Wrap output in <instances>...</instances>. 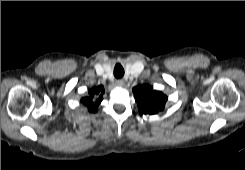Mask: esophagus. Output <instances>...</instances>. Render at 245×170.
I'll list each match as a JSON object with an SVG mask.
<instances>
[{"label":"esophagus","mask_w":245,"mask_h":170,"mask_svg":"<svg viewBox=\"0 0 245 170\" xmlns=\"http://www.w3.org/2000/svg\"><path fill=\"white\" fill-rule=\"evenodd\" d=\"M116 85H117L118 87H123V86H124V81H123L122 79H118V80L116 81Z\"/></svg>","instance_id":"obj_1"}]
</instances>
